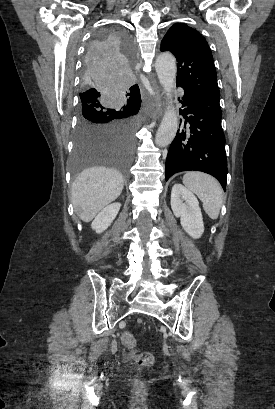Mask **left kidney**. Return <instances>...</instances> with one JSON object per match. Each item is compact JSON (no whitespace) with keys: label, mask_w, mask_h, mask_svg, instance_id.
Listing matches in <instances>:
<instances>
[{"label":"left kidney","mask_w":275,"mask_h":409,"mask_svg":"<svg viewBox=\"0 0 275 409\" xmlns=\"http://www.w3.org/2000/svg\"><path fill=\"white\" fill-rule=\"evenodd\" d=\"M171 209L175 217H180L181 225L193 239H200L204 233L199 202L183 184H174L171 190Z\"/></svg>","instance_id":"5707ae66"}]
</instances>
